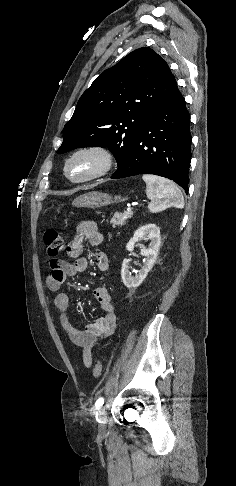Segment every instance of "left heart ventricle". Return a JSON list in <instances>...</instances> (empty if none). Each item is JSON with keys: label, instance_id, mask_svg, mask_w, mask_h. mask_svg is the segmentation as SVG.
I'll use <instances>...</instances> for the list:
<instances>
[{"label": "left heart ventricle", "instance_id": "b2bd125f", "mask_svg": "<svg viewBox=\"0 0 236 486\" xmlns=\"http://www.w3.org/2000/svg\"><path fill=\"white\" fill-rule=\"evenodd\" d=\"M98 166V160L92 155H81L69 165V175L72 178H81L92 173Z\"/></svg>", "mask_w": 236, "mask_h": 486}]
</instances>
